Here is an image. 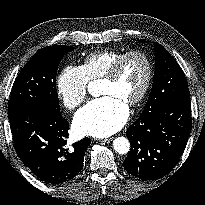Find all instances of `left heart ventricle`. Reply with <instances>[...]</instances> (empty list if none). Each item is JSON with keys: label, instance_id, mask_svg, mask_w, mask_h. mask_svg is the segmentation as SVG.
Returning a JSON list of instances; mask_svg holds the SVG:
<instances>
[{"label": "left heart ventricle", "instance_id": "b2bd125f", "mask_svg": "<svg viewBox=\"0 0 205 205\" xmlns=\"http://www.w3.org/2000/svg\"><path fill=\"white\" fill-rule=\"evenodd\" d=\"M146 73L145 61L138 56H132L124 62L116 80L102 81L100 94L116 97L128 104L141 91Z\"/></svg>", "mask_w": 205, "mask_h": 205}]
</instances>
